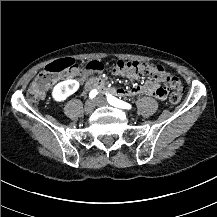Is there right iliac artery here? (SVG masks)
Listing matches in <instances>:
<instances>
[{"instance_id":"obj_1","label":"right iliac artery","mask_w":217,"mask_h":217,"mask_svg":"<svg viewBox=\"0 0 217 217\" xmlns=\"http://www.w3.org/2000/svg\"><path fill=\"white\" fill-rule=\"evenodd\" d=\"M97 94H98L97 90H96V89H93V90H91V92L89 93V97H90L91 99H93V98L96 97Z\"/></svg>"}]
</instances>
